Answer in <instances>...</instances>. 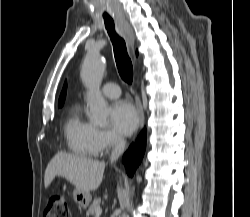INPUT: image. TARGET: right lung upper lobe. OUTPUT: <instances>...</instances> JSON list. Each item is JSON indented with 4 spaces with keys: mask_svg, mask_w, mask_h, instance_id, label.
<instances>
[{
    "mask_svg": "<svg viewBox=\"0 0 250 217\" xmlns=\"http://www.w3.org/2000/svg\"><path fill=\"white\" fill-rule=\"evenodd\" d=\"M136 54H138V52H136ZM66 91H67V83L65 82L64 86H63V89H62V92H61V95H60V98H59V101H58V107L63 106L64 100H65V97H66Z\"/></svg>",
    "mask_w": 250,
    "mask_h": 217,
    "instance_id": "cb5924a9",
    "label": "right lung upper lobe"
}]
</instances>
